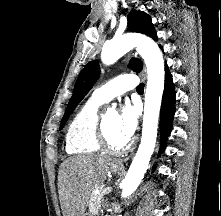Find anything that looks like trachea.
<instances>
[{"instance_id": "3493384b", "label": "trachea", "mask_w": 221, "mask_h": 216, "mask_svg": "<svg viewBox=\"0 0 221 216\" xmlns=\"http://www.w3.org/2000/svg\"><path fill=\"white\" fill-rule=\"evenodd\" d=\"M137 91L138 92H143L144 91V84L141 83L138 87H137Z\"/></svg>"}]
</instances>
